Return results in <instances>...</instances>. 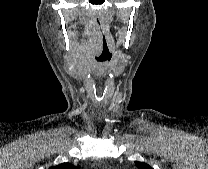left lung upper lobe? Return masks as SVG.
<instances>
[{
    "mask_svg": "<svg viewBox=\"0 0 208 169\" xmlns=\"http://www.w3.org/2000/svg\"><path fill=\"white\" fill-rule=\"evenodd\" d=\"M136 166L138 169H153L150 165L144 162L135 161Z\"/></svg>",
    "mask_w": 208,
    "mask_h": 169,
    "instance_id": "left-lung-upper-lobe-1",
    "label": "left lung upper lobe"
}]
</instances>
